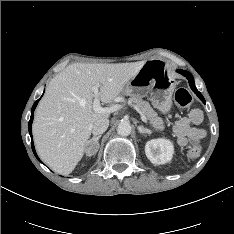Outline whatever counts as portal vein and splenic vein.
<instances>
[{
    "mask_svg": "<svg viewBox=\"0 0 234 234\" xmlns=\"http://www.w3.org/2000/svg\"><path fill=\"white\" fill-rule=\"evenodd\" d=\"M99 87L98 86H94L92 88V91L94 93V101H93V109L94 111L100 113V112H105V113H112L115 112L117 110H119L122 106L121 105H115V106H110V107H101L100 105V100H99ZM141 115V119L143 122L147 123V118L144 114L140 113Z\"/></svg>",
    "mask_w": 234,
    "mask_h": 234,
    "instance_id": "1",
    "label": "portal vein and splenic vein"
}]
</instances>
